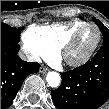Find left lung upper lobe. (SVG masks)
Segmentation results:
<instances>
[{
    "label": "left lung upper lobe",
    "instance_id": "5c2ea615",
    "mask_svg": "<svg viewBox=\"0 0 109 109\" xmlns=\"http://www.w3.org/2000/svg\"><path fill=\"white\" fill-rule=\"evenodd\" d=\"M94 22L100 28L103 35V45L109 44V29H107L99 20L93 18Z\"/></svg>",
    "mask_w": 109,
    "mask_h": 109
}]
</instances>
